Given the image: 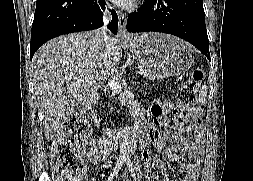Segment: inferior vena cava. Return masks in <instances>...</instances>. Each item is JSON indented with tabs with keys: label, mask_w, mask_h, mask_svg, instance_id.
<instances>
[{
	"label": "inferior vena cava",
	"mask_w": 253,
	"mask_h": 181,
	"mask_svg": "<svg viewBox=\"0 0 253 181\" xmlns=\"http://www.w3.org/2000/svg\"><path fill=\"white\" fill-rule=\"evenodd\" d=\"M111 19H112V16L110 12L106 9L103 14L104 26L96 30V34L100 37L103 43L104 49L107 52H110L114 47L110 37H108L107 35V28H106L107 24L109 23V21H111Z\"/></svg>",
	"instance_id": "602c4592"
}]
</instances>
